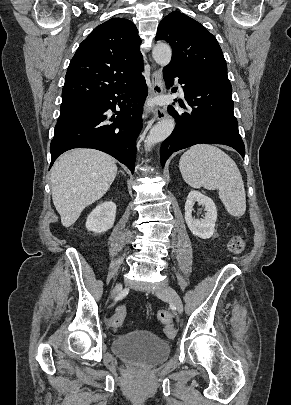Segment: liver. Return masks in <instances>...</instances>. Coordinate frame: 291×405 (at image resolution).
Returning <instances> with one entry per match:
<instances>
[{
    "label": "liver",
    "instance_id": "6515ba94",
    "mask_svg": "<svg viewBox=\"0 0 291 405\" xmlns=\"http://www.w3.org/2000/svg\"><path fill=\"white\" fill-rule=\"evenodd\" d=\"M117 175L114 159L94 149H74L61 155L51 169L54 206L64 227L99 200Z\"/></svg>",
    "mask_w": 291,
    "mask_h": 405
}]
</instances>
